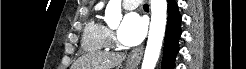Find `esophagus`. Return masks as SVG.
Returning <instances> with one entry per match:
<instances>
[{
  "label": "esophagus",
  "instance_id": "esophagus-1",
  "mask_svg": "<svg viewBox=\"0 0 246 69\" xmlns=\"http://www.w3.org/2000/svg\"><path fill=\"white\" fill-rule=\"evenodd\" d=\"M143 51H144L143 46L132 50L130 53L129 59L131 61L139 62L142 58Z\"/></svg>",
  "mask_w": 246,
  "mask_h": 69
}]
</instances>
